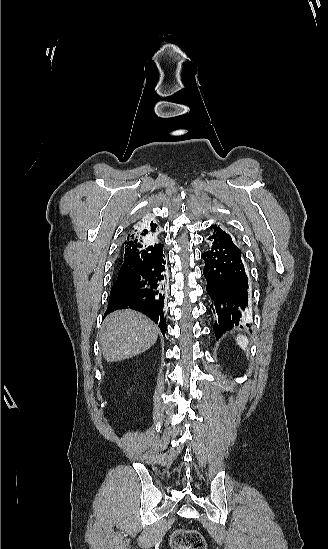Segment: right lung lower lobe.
<instances>
[{"instance_id": "98d812e1", "label": "right lung lower lobe", "mask_w": 328, "mask_h": 549, "mask_svg": "<svg viewBox=\"0 0 328 549\" xmlns=\"http://www.w3.org/2000/svg\"><path fill=\"white\" fill-rule=\"evenodd\" d=\"M165 264L162 251L130 276L117 279L111 288L105 315L126 308L142 312L158 324L165 336L167 330L163 314L166 287Z\"/></svg>"}]
</instances>
